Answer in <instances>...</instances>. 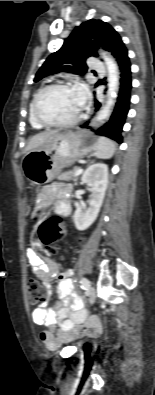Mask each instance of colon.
Returning a JSON list of instances; mask_svg holds the SVG:
<instances>
[{
  "mask_svg": "<svg viewBox=\"0 0 155 395\" xmlns=\"http://www.w3.org/2000/svg\"><path fill=\"white\" fill-rule=\"evenodd\" d=\"M62 215H48L47 220L40 224L37 228L36 233L40 235L43 246L50 251L51 256L65 255L64 251L57 249L58 241H61V233L63 232ZM29 289V303L36 305L47 300L46 289L38 283L36 280L31 279L28 281Z\"/></svg>",
  "mask_w": 155,
  "mask_h": 395,
  "instance_id": "colon-1",
  "label": "colon"
}]
</instances>
